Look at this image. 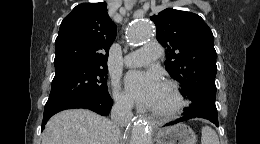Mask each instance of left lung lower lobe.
I'll use <instances>...</instances> for the list:
<instances>
[{
	"instance_id": "left-lung-lower-lobe-1",
	"label": "left lung lower lobe",
	"mask_w": 260,
	"mask_h": 144,
	"mask_svg": "<svg viewBox=\"0 0 260 144\" xmlns=\"http://www.w3.org/2000/svg\"><path fill=\"white\" fill-rule=\"evenodd\" d=\"M194 118L207 119L210 122L214 123L217 127L219 126L217 109H211V108H204V109H201L196 112H186L182 118H180L176 121L170 122V123L166 124V126L174 125V124H177V123L189 120V119H194Z\"/></svg>"
}]
</instances>
